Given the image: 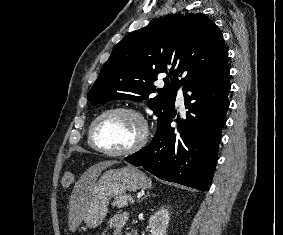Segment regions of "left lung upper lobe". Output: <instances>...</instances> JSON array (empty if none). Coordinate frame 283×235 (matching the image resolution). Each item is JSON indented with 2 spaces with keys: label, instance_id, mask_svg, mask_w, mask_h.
<instances>
[{
  "label": "left lung upper lobe",
  "instance_id": "obj_1",
  "mask_svg": "<svg viewBox=\"0 0 283 235\" xmlns=\"http://www.w3.org/2000/svg\"><path fill=\"white\" fill-rule=\"evenodd\" d=\"M227 59L222 33L212 20L200 13L167 15L130 33L114 47L88 100L92 104L148 100L159 126L173 112L180 86ZM167 65L171 71L164 78L165 89H159L154 83L159 73H167Z\"/></svg>",
  "mask_w": 283,
  "mask_h": 235
}]
</instances>
